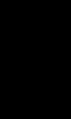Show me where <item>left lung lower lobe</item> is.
Listing matches in <instances>:
<instances>
[{
    "mask_svg": "<svg viewBox=\"0 0 71 119\" xmlns=\"http://www.w3.org/2000/svg\"><path fill=\"white\" fill-rule=\"evenodd\" d=\"M54 81L57 84L64 85L66 87L69 86L68 74L66 72H64V71Z\"/></svg>",
    "mask_w": 71,
    "mask_h": 119,
    "instance_id": "1",
    "label": "left lung lower lobe"
}]
</instances>
